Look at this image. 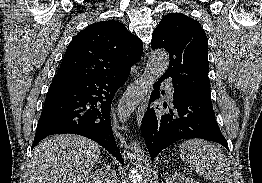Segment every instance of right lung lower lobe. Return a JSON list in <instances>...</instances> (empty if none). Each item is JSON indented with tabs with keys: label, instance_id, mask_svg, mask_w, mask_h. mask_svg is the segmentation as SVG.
I'll return each mask as SVG.
<instances>
[{
	"label": "right lung lower lobe",
	"instance_id": "right-lung-lower-lobe-1",
	"mask_svg": "<svg viewBox=\"0 0 262 183\" xmlns=\"http://www.w3.org/2000/svg\"><path fill=\"white\" fill-rule=\"evenodd\" d=\"M129 73L130 70L114 76L52 82L32 148L52 134H79L100 144L123 164L112 132L110 108Z\"/></svg>",
	"mask_w": 262,
	"mask_h": 183
}]
</instances>
